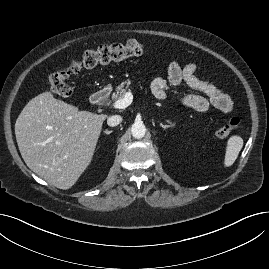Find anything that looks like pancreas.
Listing matches in <instances>:
<instances>
[{
  "label": "pancreas",
  "instance_id": "1",
  "mask_svg": "<svg viewBox=\"0 0 269 269\" xmlns=\"http://www.w3.org/2000/svg\"><path fill=\"white\" fill-rule=\"evenodd\" d=\"M130 85V81H125L122 82L117 88H116V92L113 93L112 95V99L113 100H118L120 98H123L124 95L126 94V92L130 91V89H128Z\"/></svg>",
  "mask_w": 269,
  "mask_h": 269
}]
</instances>
